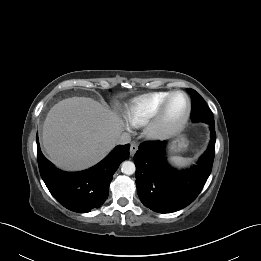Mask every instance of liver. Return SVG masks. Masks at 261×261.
Listing matches in <instances>:
<instances>
[{"label":"liver","mask_w":261,"mask_h":261,"mask_svg":"<svg viewBox=\"0 0 261 261\" xmlns=\"http://www.w3.org/2000/svg\"><path fill=\"white\" fill-rule=\"evenodd\" d=\"M120 118L99 102L72 97L55 104L43 125L49 159L65 170H83L101 161L117 144Z\"/></svg>","instance_id":"1"}]
</instances>
